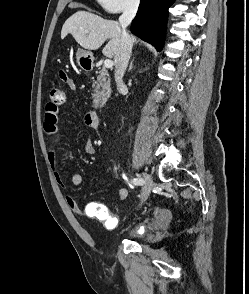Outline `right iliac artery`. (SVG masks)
Segmentation results:
<instances>
[{
    "label": "right iliac artery",
    "instance_id": "right-iliac-artery-1",
    "mask_svg": "<svg viewBox=\"0 0 249 294\" xmlns=\"http://www.w3.org/2000/svg\"><path fill=\"white\" fill-rule=\"evenodd\" d=\"M131 182L134 184V185H143L144 184V180L140 177L138 178H133L131 180Z\"/></svg>",
    "mask_w": 249,
    "mask_h": 294
}]
</instances>
